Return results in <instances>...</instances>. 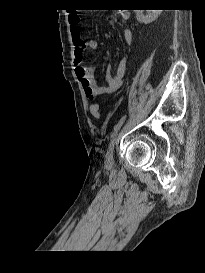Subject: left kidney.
<instances>
[{"mask_svg": "<svg viewBox=\"0 0 205 273\" xmlns=\"http://www.w3.org/2000/svg\"><path fill=\"white\" fill-rule=\"evenodd\" d=\"M136 13V19L144 24H149L155 21L161 14L162 10H146L147 14H144V10H134Z\"/></svg>", "mask_w": 205, "mask_h": 273, "instance_id": "left-kidney-1", "label": "left kidney"}]
</instances>
